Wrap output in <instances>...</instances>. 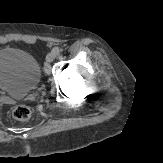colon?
Masks as SVG:
<instances>
[{
    "label": "colon",
    "instance_id": "5ec220e1",
    "mask_svg": "<svg viewBox=\"0 0 163 163\" xmlns=\"http://www.w3.org/2000/svg\"><path fill=\"white\" fill-rule=\"evenodd\" d=\"M13 116L17 120H27L31 116V110L28 106L18 105L13 110Z\"/></svg>",
    "mask_w": 163,
    "mask_h": 163
}]
</instances>
